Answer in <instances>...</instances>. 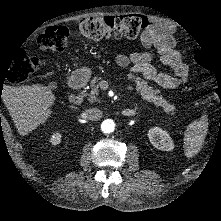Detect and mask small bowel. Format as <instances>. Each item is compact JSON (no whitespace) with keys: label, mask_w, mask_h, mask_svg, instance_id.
<instances>
[{"label":"small bowel","mask_w":221,"mask_h":221,"mask_svg":"<svg viewBox=\"0 0 221 221\" xmlns=\"http://www.w3.org/2000/svg\"><path fill=\"white\" fill-rule=\"evenodd\" d=\"M153 28L140 35V41L146 51L131 55L118 54L115 58L119 66H130L127 73V79L134 81L138 74H141L147 80H151L165 88H176L189 80L188 66L183 63L181 53L176 49V39L172 33L171 27L158 21H151ZM154 50L160 56L161 61L170 65L175 76L158 74L152 65L155 58Z\"/></svg>","instance_id":"c3829d8e"}]
</instances>
